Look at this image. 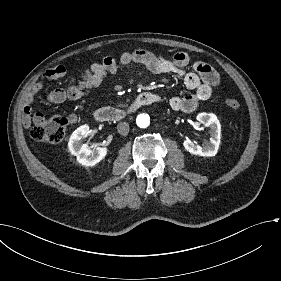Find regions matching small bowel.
I'll list each match as a JSON object with an SVG mask.
<instances>
[{"instance_id":"small-bowel-1","label":"small bowel","mask_w":281,"mask_h":281,"mask_svg":"<svg viewBox=\"0 0 281 281\" xmlns=\"http://www.w3.org/2000/svg\"><path fill=\"white\" fill-rule=\"evenodd\" d=\"M189 64L190 58L184 52H178L171 58H165L143 49L123 53L118 58L105 56L100 62H95L82 69L77 83L67 88L52 90L48 94V100L56 104L67 100H79L99 86L107 74L115 73L119 69L142 65L152 73H172L182 78L186 87L192 89V92L183 96H172L168 103L173 111L191 113L200 103L211 96L213 88L220 82V77L216 70L205 62H196L192 71L186 69ZM65 74L66 68L59 65L46 70L43 78L53 80L61 78ZM41 88L42 83L37 82L26 94L22 114V123L26 130L32 129V119L36 123L44 121V115L39 112L34 113L31 117V105ZM150 94L151 100L148 104L161 101L160 95Z\"/></svg>"}]
</instances>
